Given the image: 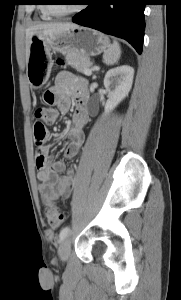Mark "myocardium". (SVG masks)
<instances>
[{
	"instance_id": "myocardium-1",
	"label": "myocardium",
	"mask_w": 181,
	"mask_h": 300,
	"mask_svg": "<svg viewBox=\"0 0 181 300\" xmlns=\"http://www.w3.org/2000/svg\"><path fill=\"white\" fill-rule=\"evenodd\" d=\"M46 2H48V3L46 4V6H45L47 12H48L51 16L57 17V18H62V17H66V16L73 15V14L77 13L78 10H79L78 8H73V9L70 10V11L59 12V11H57V10L54 8V5H52V4L49 3L50 1L47 0Z\"/></svg>"
}]
</instances>
